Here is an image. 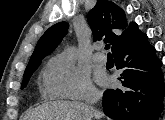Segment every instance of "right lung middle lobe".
<instances>
[{"mask_svg": "<svg viewBox=\"0 0 165 120\" xmlns=\"http://www.w3.org/2000/svg\"><path fill=\"white\" fill-rule=\"evenodd\" d=\"M41 63V60L40 61H37L33 64H31L30 66H28V68L25 70V73H24V77H23V81H22V85H21V88H25L30 77L32 76L33 72L38 68V66L40 65Z\"/></svg>", "mask_w": 165, "mask_h": 120, "instance_id": "dd1d6c3e", "label": "right lung middle lobe"}]
</instances>
